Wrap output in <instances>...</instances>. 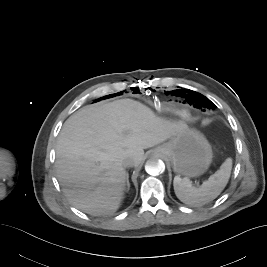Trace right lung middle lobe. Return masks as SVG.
Segmentation results:
<instances>
[{
  "label": "right lung middle lobe",
  "instance_id": "obj_1",
  "mask_svg": "<svg viewBox=\"0 0 267 267\" xmlns=\"http://www.w3.org/2000/svg\"><path fill=\"white\" fill-rule=\"evenodd\" d=\"M117 94L120 95V93H116V94H112V95H107V96H105L104 98H100V99L110 98V97H113L114 95H117ZM100 99H99V100H100Z\"/></svg>",
  "mask_w": 267,
  "mask_h": 267
}]
</instances>
